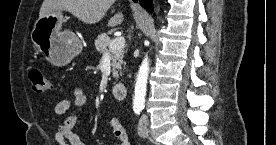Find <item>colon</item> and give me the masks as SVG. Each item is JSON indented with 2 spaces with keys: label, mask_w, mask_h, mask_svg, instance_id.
Wrapping results in <instances>:
<instances>
[{
  "label": "colon",
  "mask_w": 276,
  "mask_h": 145,
  "mask_svg": "<svg viewBox=\"0 0 276 145\" xmlns=\"http://www.w3.org/2000/svg\"><path fill=\"white\" fill-rule=\"evenodd\" d=\"M29 79L32 84V90L36 94H43L51 89L49 79L44 72L38 68H33L29 71Z\"/></svg>",
  "instance_id": "1"
}]
</instances>
